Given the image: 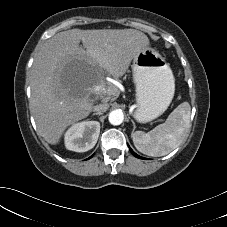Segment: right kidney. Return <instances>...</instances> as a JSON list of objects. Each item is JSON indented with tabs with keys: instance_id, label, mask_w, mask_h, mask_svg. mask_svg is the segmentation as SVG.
<instances>
[{
	"instance_id": "obj_1",
	"label": "right kidney",
	"mask_w": 227,
	"mask_h": 227,
	"mask_svg": "<svg viewBox=\"0 0 227 227\" xmlns=\"http://www.w3.org/2000/svg\"><path fill=\"white\" fill-rule=\"evenodd\" d=\"M100 134L98 121H82L71 126L65 133V146L75 152H86L97 143Z\"/></svg>"
}]
</instances>
